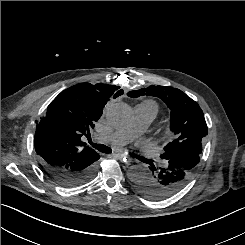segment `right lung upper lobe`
I'll return each mask as SVG.
<instances>
[{
  "label": "right lung upper lobe",
  "mask_w": 245,
  "mask_h": 245,
  "mask_svg": "<svg viewBox=\"0 0 245 245\" xmlns=\"http://www.w3.org/2000/svg\"><path fill=\"white\" fill-rule=\"evenodd\" d=\"M123 94L119 87L80 83L62 91L37 122L35 151L40 162L62 167L99 154L87 147L81 137L90 134L111 97Z\"/></svg>",
  "instance_id": "obj_1"
}]
</instances>
